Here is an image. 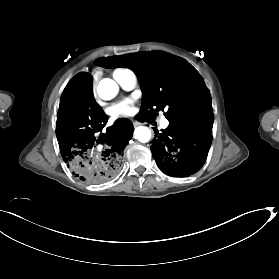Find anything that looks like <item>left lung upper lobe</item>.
<instances>
[{"label": "left lung upper lobe", "instance_id": "5c2ea615", "mask_svg": "<svg viewBox=\"0 0 279 279\" xmlns=\"http://www.w3.org/2000/svg\"><path fill=\"white\" fill-rule=\"evenodd\" d=\"M95 64L134 71L143 91L139 114L148 119L164 109L169 122L212 114L211 97L205 83L183 59L154 51L99 58Z\"/></svg>", "mask_w": 279, "mask_h": 279}]
</instances>
